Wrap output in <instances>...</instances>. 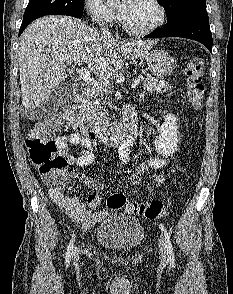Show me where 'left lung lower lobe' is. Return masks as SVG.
<instances>
[{
  "instance_id": "left-lung-lower-lobe-1",
  "label": "left lung lower lobe",
  "mask_w": 233,
  "mask_h": 294,
  "mask_svg": "<svg viewBox=\"0 0 233 294\" xmlns=\"http://www.w3.org/2000/svg\"><path fill=\"white\" fill-rule=\"evenodd\" d=\"M183 37L196 40L212 52V35L208 14L204 10H185L167 20L166 25L145 38Z\"/></svg>"
}]
</instances>
